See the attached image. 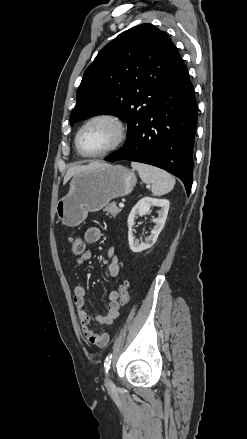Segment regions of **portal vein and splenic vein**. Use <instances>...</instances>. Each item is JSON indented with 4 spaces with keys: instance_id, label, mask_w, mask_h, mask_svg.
Instances as JSON below:
<instances>
[{
    "instance_id": "1",
    "label": "portal vein and splenic vein",
    "mask_w": 247,
    "mask_h": 439,
    "mask_svg": "<svg viewBox=\"0 0 247 439\" xmlns=\"http://www.w3.org/2000/svg\"><path fill=\"white\" fill-rule=\"evenodd\" d=\"M119 207L123 208V207H124V203H123V202H120V203H119Z\"/></svg>"
}]
</instances>
